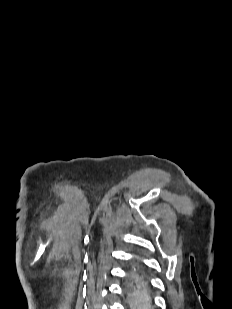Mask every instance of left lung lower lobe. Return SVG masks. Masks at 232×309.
<instances>
[{
  "label": "left lung lower lobe",
  "mask_w": 232,
  "mask_h": 309,
  "mask_svg": "<svg viewBox=\"0 0 232 309\" xmlns=\"http://www.w3.org/2000/svg\"><path fill=\"white\" fill-rule=\"evenodd\" d=\"M126 292H134L132 296V309H152L153 295L149 275L145 265L140 260H135L129 270Z\"/></svg>",
  "instance_id": "0a47b994"
}]
</instances>
